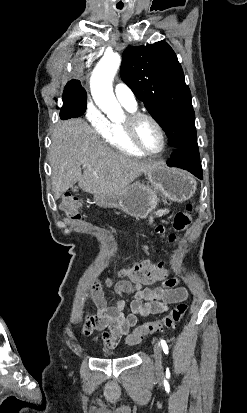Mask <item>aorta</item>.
<instances>
[{
  "label": "aorta",
  "instance_id": "aorta-1",
  "mask_svg": "<svg viewBox=\"0 0 247 413\" xmlns=\"http://www.w3.org/2000/svg\"><path fill=\"white\" fill-rule=\"evenodd\" d=\"M120 64L119 54L106 53L98 62L91 76L90 86L93 99L110 119L121 117L123 113L112 89V82Z\"/></svg>",
  "mask_w": 247,
  "mask_h": 413
}]
</instances>
